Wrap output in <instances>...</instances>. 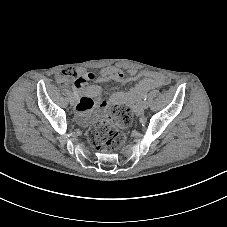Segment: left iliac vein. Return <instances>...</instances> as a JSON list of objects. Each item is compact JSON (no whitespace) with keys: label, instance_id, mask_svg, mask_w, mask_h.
Returning a JSON list of instances; mask_svg holds the SVG:
<instances>
[{"label":"left iliac vein","instance_id":"4c4485c4","mask_svg":"<svg viewBox=\"0 0 227 227\" xmlns=\"http://www.w3.org/2000/svg\"><path fill=\"white\" fill-rule=\"evenodd\" d=\"M148 106H149V104H148L147 101H143V102H142V108H143V109H147Z\"/></svg>","mask_w":227,"mask_h":227}]
</instances>
